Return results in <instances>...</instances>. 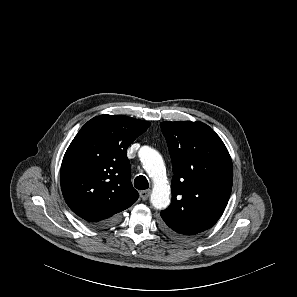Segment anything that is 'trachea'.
<instances>
[{"mask_svg":"<svg viewBox=\"0 0 297 297\" xmlns=\"http://www.w3.org/2000/svg\"><path fill=\"white\" fill-rule=\"evenodd\" d=\"M134 186L138 190H145L149 187V183L145 176L139 175L134 180Z\"/></svg>","mask_w":297,"mask_h":297,"instance_id":"trachea-1","label":"trachea"}]
</instances>
